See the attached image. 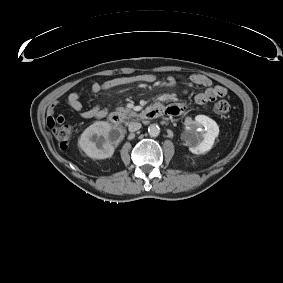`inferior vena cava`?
Here are the masks:
<instances>
[{"label": "inferior vena cava", "instance_id": "inferior-vena-cava-1", "mask_svg": "<svg viewBox=\"0 0 283 283\" xmlns=\"http://www.w3.org/2000/svg\"><path fill=\"white\" fill-rule=\"evenodd\" d=\"M141 123H139V122H130L129 124H128V130L130 131V132H135V131H137V130H139L140 128H141Z\"/></svg>", "mask_w": 283, "mask_h": 283}]
</instances>
